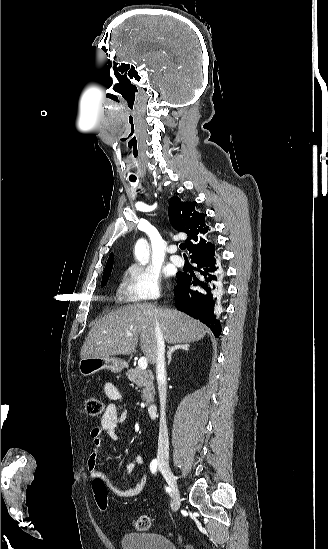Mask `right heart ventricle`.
<instances>
[{
    "label": "right heart ventricle",
    "mask_w": 328,
    "mask_h": 549,
    "mask_svg": "<svg viewBox=\"0 0 328 549\" xmlns=\"http://www.w3.org/2000/svg\"><path fill=\"white\" fill-rule=\"evenodd\" d=\"M113 303H130L122 290V286L117 287L113 295Z\"/></svg>",
    "instance_id": "obj_1"
}]
</instances>
